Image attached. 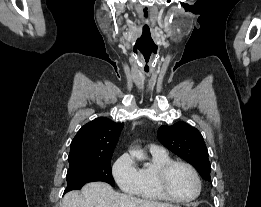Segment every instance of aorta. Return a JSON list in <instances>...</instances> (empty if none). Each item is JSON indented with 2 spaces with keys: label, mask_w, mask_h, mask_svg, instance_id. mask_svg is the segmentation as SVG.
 Masks as SVG:
<instances>
[{
  "label": "aorta",
  "mask_w": 261,
  "mask_h": 207,
  "mask_svg": "<svg viewBox=\"0 0 261 207\" xmlns=\"http://www.w3.org/2000/svg\"><path fill=\"white\" fill-rule=\"evenodd\" d=\"M130 154L138 160H142L145 158L142 151L130 150Z\"/></svg>",
  "instance_id": "762f6f07"
}]
</instances>
